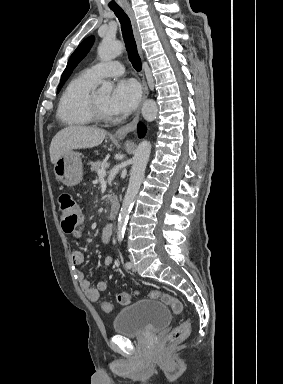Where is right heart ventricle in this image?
<instances>
[{"instance_id":"obj_1","label":"right heart ventricle","mask_w":283,"mask_h":384,"mask_svg":"<svg viewBox=\"0 0 283 384\" xmlns=\"http://www.w3.org/2000/svg\"><path fill=\"white\" fill-rule=\"evenodd\" d=\"M95 83L85 72L69 80L57 106V118L63 126L68 129H84L94 123L86 114L84 106Z\"/></svg>"}]
</instances>
